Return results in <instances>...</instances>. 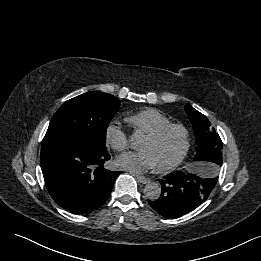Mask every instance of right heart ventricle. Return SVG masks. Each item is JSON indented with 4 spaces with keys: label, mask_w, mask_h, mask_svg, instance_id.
<instances>
[{
    "label": "right heart ventricle",
    "mask_w": 261,
    "mask_h": 261,
    "mask_svg": "<svg viewBox=\"0 0 261 261\" xmlns=\"http://www.w3.org/2000/svg\"><path fill=\"white\" fill-rule=\"evenodd\" d=\"M127 121L147 135L171 123L168 116L154 108H147L134 113L127 118Z\"/></svg>",
    "instance_id": "obj_1"
}]
</instances>
